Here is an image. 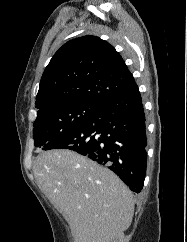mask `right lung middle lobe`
I'll list each match as a JSON object with an SVG mask.
<instances>
[{"instance_id": "obj_1", "label": "right lung middle lobe", "mask_w": 187, "mask_h": 242, "mask_svg": "<svg viewBox=\"0 0 187 242\" xmlns=\"http://www.w3.org/2000/svg\"><path fill=\"white\" fill-rule=\"evenodd\" d=\"M100 107L87 102H73L38 114L33 129L35 146L45 150L87 121Z\"/></svg>"}]
</instances>
